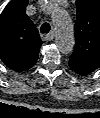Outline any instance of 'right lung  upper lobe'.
Instances as JSON below:
<instances>
[{
    "label": "right lung upper lobe",
    "mask_w": 100,
    "mask_h": 118,
    "mask_svg": "<svg viewBox=\"0 0 100 118\" xmlns=\"http://www.w3.org/2000/svg\"><path fill=\"white\" fill-rule=\"evenodd\" d=\"M28 0H11L0 15V58L22 72L37 61L42 44L38 30L26 15Z\"/></svg>",
    "instance_id": "cb5924a9"
}]
</instances>
